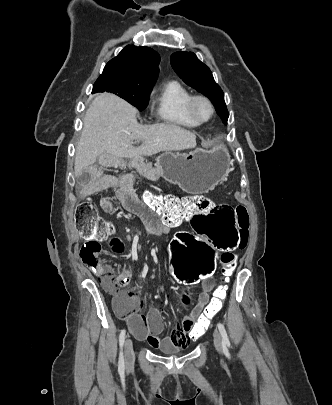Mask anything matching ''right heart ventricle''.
<instances>
[{"mask_svg":"<svg viewBox=\"0 0 332 405\" xmlns=\"http://www.w3.org/2000/svg\"><path fill=\"white\" fill-rule=\"evenodd\" d=\"M191 93L178 81L163 84L154 94V114L159 121L167 124L194 128L200 124L189 117L186 102Z\"/></svg>","mask_w":332,"mask_h":405,"instance_id":"e07e8e85","label":"right heart ventricle"}]
</instances>
